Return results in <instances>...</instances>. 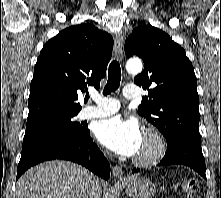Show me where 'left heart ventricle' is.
Masks as SVG:
<instances>
[{"label":"left heart ventricle","mask_w":221,"mask_h":198,"mask_svg":"<svg viewBox=\"0 0 221 198\" xmlns=\"http://www.w3.org/2000/svg\"><path fill=\"white\" fill-rule=\"evenodd\" d=\"M150 147H151V145H150L149 141L143 139L142 144H141L138 152L136 153V155H142V154L147 153L150 150Z\"/></svg>","instance_id":"1"}]
</instances>
